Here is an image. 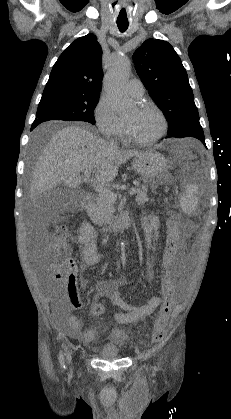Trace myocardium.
<instances>
[{
	"label": "myocardium",
	"instance_id": "f54148a6",
	"mask_svg": "<svg viewBox=\"0 0 231 419\" xmlns=\"http://www.w3.org/2000/svg\"><path fill=\"white\" fill-rule=\"evenodd\" d=\"M138 108L141 109V110H152V111L156 112L158 114L160 120H161V129L155 136H153L151 138H148V139H142V138H138V137H136L135 135L132 134L129 125L126 122L127 137L130 141H132L133 143H136L138 145L153 144V143L157 142L158 140H160L167 131L168 122H167L166 116L158 106H156L152 103H140L138 105Z\"/></svg>",
	"mask_w": 231,
	"mask_h": 419
}]
</instances>
